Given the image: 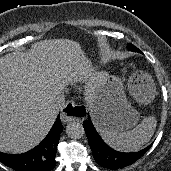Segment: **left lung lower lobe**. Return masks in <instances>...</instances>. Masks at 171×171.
Instances as JSON below:
<instances>
[{"mask_svg": "<svg viewBox=\"0 0 171 171\" xmlns=\"http://www.w3.org/2000/svg\"><path fill=\"white\" fill-rule=\"evenodd\" d=\"M84 129L95 161L102 167L117 170L124 168L139 159L150 147L136 153H122L110 148L98 135L90 120L83 122Z\"/></svg>", "mask_w": 171, "mask_h": 171, "instance_id": "1", "label": "left lung lower lobe"}]
</instances>
